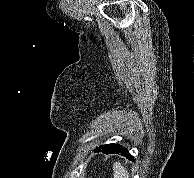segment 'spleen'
Listing matches in <instances>:
<instances>
[{
	"mask_svg": "<svg viewBox=\"0 0 194 178\" xmlns=\"http://www.w3.org/2000/svg\"><path fill=\"white\" fill-rule=\"evenodd\" d=\"M113 175L114 178H129L128 171L120 162L113 164Z\"/></svg>",
	"mask_w": 194,
	"mask_h": 178,
	"instance_id": "1",
	"label": "spleen"
}]
</instances>
